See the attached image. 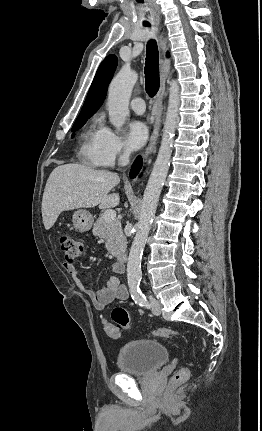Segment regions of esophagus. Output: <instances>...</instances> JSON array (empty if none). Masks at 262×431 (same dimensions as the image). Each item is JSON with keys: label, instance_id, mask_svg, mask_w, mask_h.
<instances>
[{"label": "esophagus", "instance_id": "esophagus-1", "mask_svg": "<svg viewBox=\"0 0 262 431\" xmlns=\"http://www.w3.org/2000/svg\"><path fill=\"white\" fill-rule=\"evenodd\" d=\"M170 60L167 58H164L160 65V88L156 100V121L154 124L153 132L150 137V141L148 146L145 149V152L143 154V158L146 159L155 149H156V143L159 138L160 134V127H161V116L163 112V98L165 94V81L167 78V75L169 73L170 69Z\"/></svg>", "mask_w": 262, "mask_h": 431}]
</instances>
